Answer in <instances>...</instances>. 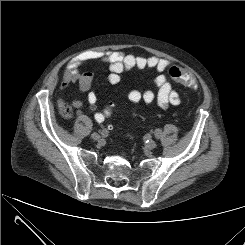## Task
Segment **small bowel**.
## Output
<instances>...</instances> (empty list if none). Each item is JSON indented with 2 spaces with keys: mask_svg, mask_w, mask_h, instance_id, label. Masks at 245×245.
Returning a JSON list of instances; mask_svg holds the SVG:
<instances>
[{
  "mask_svg": "<svg viewBox=\"0 0 245 245\" xmlns=\"http://www.w3.org/2000/svg\"><path fill=\"white\" fill-rule=\"evenodd\" d=\"M92 61H100L108 64L109 75L108 81L112 85L118 84L122 79L124 72L138 69H153L157 72L153 82L158 92L155 94L151 90L140 91L133 89L128 93V100L132 104L144 103L151 105L154 102L162 108L166 109L170 106H176L180 103L179 94L172 87L164 71L169 67L170 61L156 56L143 57L134 56L132 54H124L120 51H86L73 58L67 65L66 70L62 74L61 90H65L70 84H77L80 90L87 93V102L91 110L96 109L97 95L90 91L94 75L92 72H81L80 67ZM64 102L60 99L59 104ZM73 105L82 109L84 103L80 100L74 101ZM94 118L101 123L105 120L102 112H96Z\"/></svg>",
  "mask_w": 245,
  "mask_h": 245,
  "instance_id": "obj_1",
  "label": "small bowel"
}]
</instances>
